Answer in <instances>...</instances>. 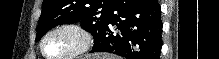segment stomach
Instances as JSON below:
<instances>
[{
	"mask_svg": "<svg viewBox=\"0 0 219 59\" xmlns=\"http://www.w3.org/2000/svg\"><path fill=\"white\" fill-rule=\"evenodd\" d=\"M98 59H111L109 56L107 55H103V56H97Z\"/></svg>",
	"mask_w": 219,
	"mask_h": 59,
	"instance_id": "0dacf381",
	"label": "stomach"
}]
</instances>
